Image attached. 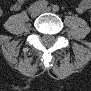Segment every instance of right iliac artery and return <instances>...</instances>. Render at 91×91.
I'll return each mask as SVG.
<instances>
[{
  "label": "right iliac artery",
  "instance_id": "right-iliac-artery-1",
  "mask_svg": "<svg viewBox=\"0 0 91 91\" xmlns=\"http://www.w3.org/2000/svg\"><path fill=\"white\" fill-rule=\"evenodd\" d=\"M48 5V2L46 0H39L35 3H33L29 8L28 11L31 12L37 8H43L46 7Z\"/></svg>",
  "mask_w": 91,
  "mask_h": 91
}]
</instances>
